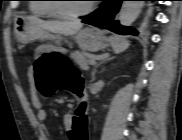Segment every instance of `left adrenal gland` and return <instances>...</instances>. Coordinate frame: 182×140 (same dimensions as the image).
<instances>
[{
  "label": "left adrenal gland",
  "instance_id": "1",
  "mask_svg": "<svg viewBox=\"0 0 182 140\" xmlns=\"http://www.w3.org/2000/svg\"><path fill=\"white\" fill-rule=\"evenodd\" d=\"M114 58H115V57L106 56V57H104V58L102 59V61H101L98 65L95 66V68H94L93 71H92V81L95 80V74H96V72H97V68H98L100 65L106 63L107 61L113 60Z\"/></svg>",
  "mask_w": 182,
  "mask_h": 140
}]
</instances>
